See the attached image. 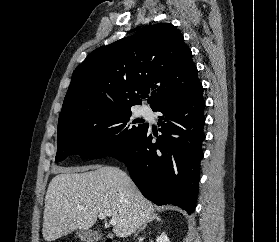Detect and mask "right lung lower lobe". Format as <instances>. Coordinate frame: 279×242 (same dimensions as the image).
I'll return each instance as SVG.
<instances>
[{"label":"right lung lower lobe","instance_id":"1","mask_svg":"<svg viewBox=\"0 0 279 242\" xmlns=\"http://www.w3.org/2000/svg\"><path fill=\"white\" fill-rule=\"evenodd\" d=\"M204 108L202 85L154 111L162 113V135L153 143L149 127L112 157L128 167L141 193L157 205L174 204L195 211L200 162L203 159Z\"/></svg>","mask_w":279,"mask_h":242}]
</instances>
